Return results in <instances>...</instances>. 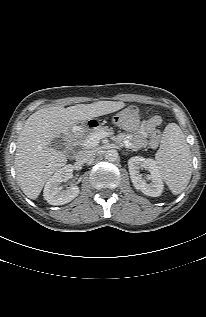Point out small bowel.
<instances>
[{
	"mask_svg": "<svg viewBox=\"0 0 206 317\" xmlns=\"http://www.w3.org/2000/svg\"><path fill=\"white\" fill-rule=\"evenodd\" d=\"M162 119L159 116L148 118L139 125V127L131 134L123 136V141L128 147L142 148L149 144L156 147L159 143Z\"/></svg>",
	"mask_w": 206,
	"mask_h": 317,
	"instance_id": "c3829d8e",
	"label": "small bowel"
}]
</instances>
